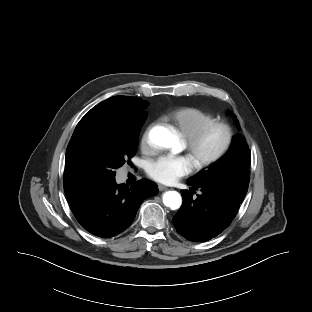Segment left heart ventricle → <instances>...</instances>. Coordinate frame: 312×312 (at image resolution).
Wrapping results in <instances>:
<instances>
[{
	"instance_id": "obj_1",
	"label": "left heart ventricle",
	"mask_w": 312,
	"mask_h": 312,
	"mask_svg": "<svg viewBox=\"0 0 312 312\" xmlns=\"http://www.w3.org/2000/svg\"><path fill=\"white\" fill-rule=\"evenodd\" d=\"M224 141V132L221 129L212 131L201 143L197 150L199 157L208 156L216 152Z\"/></svg>"
}]
</instances>
